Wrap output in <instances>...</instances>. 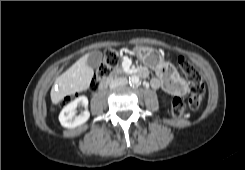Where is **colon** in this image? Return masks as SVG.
<instances>
[{"mask_svg": "<svg viewBox=\"0 0 245 170\" xmlns=\"http://www.w3.org/2000/svg\"><path fill=\"white\" fill-rule=\"evenodd\" d=\"M117 63V54L114 50L108 49L105 52L103 62L98 68L94 83H98L101 78L106 77L112 68ZM179 66L184 75L191 82V96L188 100V105L191 109H197L200 106L202 97L205 93V84L201 74L196 70L193 64L185 58L179 59ZM72 100V96L66 97L62 104H67ZM185 111V103L181 97H176L173 100L172 115L175 118H180Z\"/></svg>", "mask_w": 245, "mask_h": 170, "instance_id": "5ec220e1", "label": "colon"}]
</instances>
